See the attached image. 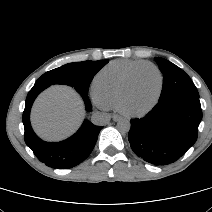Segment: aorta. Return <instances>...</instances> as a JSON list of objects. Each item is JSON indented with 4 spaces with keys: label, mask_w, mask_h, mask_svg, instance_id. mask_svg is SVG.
<instances>
[{
    "label": "aorta",
    "mask_w": 212,
    "mask_h": 212,
    "mask_svg": "<svg viewBox=\"0 0 212 212\" xmlns=\"http://www.w3.org/2000/svg\"><path fill=\"white\" fill-rule=\"evenodd\" d=\"M131 124L128 120H121L117 123V129L122 133L129 132Z\"/></svg>",
    "instance_id": "aorta-1"
}]
</instances>
